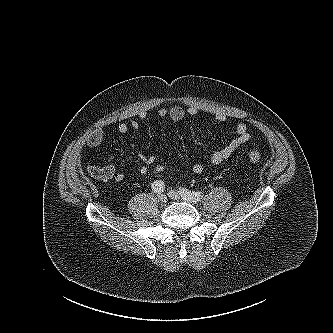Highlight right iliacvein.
<instances>
[{
  "mask_svg": "<svg viewBox=\"0 0 333 333\" xmlns=\"http://www.w3.org/2000/svg\"><path fill=\"white\" fill-rule=\"evenodd\" d=\"M158 200L160 201V203H166L167 202V197L165 194H159L158 195Z\"/></svg>",
  "mask_w": 333,
  "mask_h": 333,
  "instance_id": "right-iliac-vein-1",
  "label": "right iliac vein"
}]
</instances>
